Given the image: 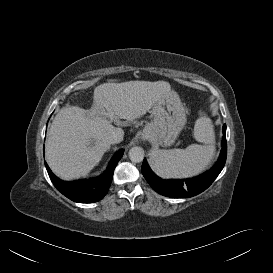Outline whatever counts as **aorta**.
Here are the masks:
<instances>
[{
    "instance_id": "obj_1",
    "label": "aorta",
    "mask_w": 273,
    "mask_h": 273,
    "mask_svg": "<svg viewBox=\"0 0 273 273\" xmlns=\"http://www.w3.org/2000/svg\"><path fill=\"white\" fill-rule=\"evenodd\" d=\"M144 156H145V153L142 147L135 146L129 150V158L134 163L142 162L144 159Z\"/></svg>"
}]
</instances>
